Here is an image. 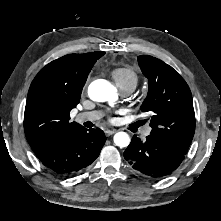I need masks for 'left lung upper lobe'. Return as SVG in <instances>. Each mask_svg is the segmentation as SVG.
Instances as JSON below:
<instances>
[{
    "label": "left lung upper lobe",
    "mask_w": 221,
    "mask_h": 221,
    "mask_svg": "<svg viewBox=\"0 0 221 221\" xmlns=\"http://www.w3.org/2000/svg\"><path fill=\"white\" fill-rule=\"evenodd\" d=\"M138 64L149 81L141 110L151 114L150 135L186 154L195 132L192 95L187 83L171 66L155 57L138 56Z\"/></svg>",
    "instance_id": "left-lung-upper-lobe-1"
}]
</instances>
